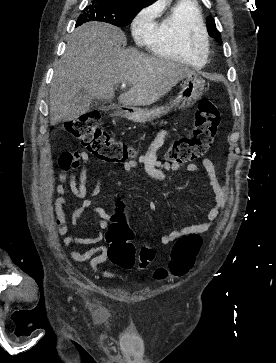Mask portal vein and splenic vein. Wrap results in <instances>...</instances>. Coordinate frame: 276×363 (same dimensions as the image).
Instances as JSON below:
<instances>
[{
  "label": "portal vein and splenic vein",
  "instance_id": "18ae733b",
  "mask_svg": "<svg viewBox=\"0 0 276 363\" xmlns=\"http://www.w3.org/2000/svg\"><path fill=\"white\" fill-rule=\"evenodd\" d=\"M125 87H126V84L122 83L121 88H125Z\"/></svg>",
  "mask_w": 276,
  "mask_h": 363
}]
</instances>
